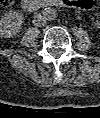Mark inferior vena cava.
Wrapping results in <instances>:
<instances>
[{
	"label": "inferior vena cava",
	"instance_id": "inferior-vena-cava-1",
	"mask_svg": "<svg viewBox=\"0 0 100 118\" xmlns=\"http://www.w3.org/2000/svg\"><path fill=\"white\" fill-rule=\"evenodd\" d=\"M33 24L36 27H42L46 24V19L41 14H36L33 17Z\"/></svg>",
	"mask_w": 100,
	"mask_h": 118
}]
</instances>
